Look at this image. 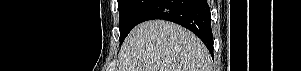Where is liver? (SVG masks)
<instances>
[{
  "label": "liver",
  "instance_id": "obj_1",
  "mask_svg": "<svg viewBox=\"0 0 301 71\" xmlns=\"http://www.w3.org/2000/svg\"><path fill=\"white\" fill-rule=\"evenodd\" d=\"M118 71H211V58L189 30L152 20L129 33L119 52Z\"/></svg>",
  "mask_w": 301,
  "mask_h": 71
}]
</instances>
